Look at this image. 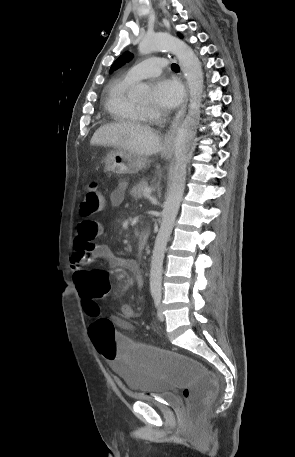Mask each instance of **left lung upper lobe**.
I'll return each mask as SVG.
<instances>
[{"mask_svg":"<svg viewBox=\"0 0 295 457\" xmlns=\"http://www.w3.org/2000/svg\"><path fill=\"white\" fill-rule=\"evenodd\" d=\"M180 37H182L180 35ZM132 58V54L129 52H125L123 55H121L111 66L110 73H112L114 70L118 69L122 65H124L126 62H128Z\"/></svg>","mask_w":295,"mask_h":457,"instance_id":"1","label":"left lung upper lobe"}]
</instances>
